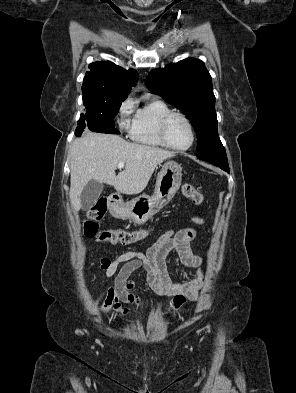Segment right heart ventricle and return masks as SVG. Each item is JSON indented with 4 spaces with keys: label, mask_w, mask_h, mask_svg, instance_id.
Here are the masks:
<instances>
[{
    "label": "right heart ventricle",
    "mask_w": 296,
    "mask_h": 393,
    "mask_svg": "<svg viewBox=\"0 0 296 393\" xmlns=\"http://www.w3.org/2000/svg\"><path fill=\"white\" fill-rule=\"evenodd\" d=\"M172 112L163 101L152 99L138 109L131 126V138L144 146L165 148L159 134L162 119Z\"/></svg>",
    "instance_id": "1"
}]
</instances>
